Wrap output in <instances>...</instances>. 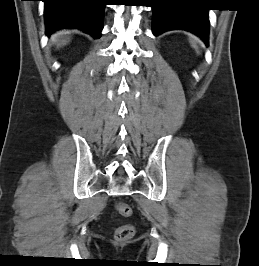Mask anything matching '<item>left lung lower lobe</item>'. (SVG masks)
<instances>
[{"instance_id":"obj_1","label":"left lung lower lobe","mask_w":259,"mask_h":266,"mask_svg":"<svg viewBox=\"0 0 259 266\" xmlns=\"http://www.w3.org/2000/svg\"><path fill=\"white\" fill-rule=\"evenodd\" d=\"M153 34L183 29L199 36L208 45V9L193 6L190 0H152Z\"/></svg>"}]
</instances>
